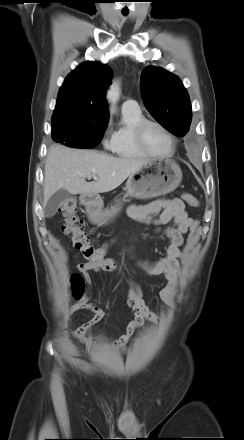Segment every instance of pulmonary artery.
I'll list each match as a JSON object with an SVG mask.
<instances>
[{
    "label": "pulmonary artery",
    "mask_w": 244,
    "mask_h": 440,
    "mask_svg": "<svg viewBox=\"0 0 244 440\" xmlns=\"http://www.w3.org/2000/svg\"><path fill=\"white\" fill-rule=\"evenodd\" d=\"M122 111H129V112H135L140 110L138 103L135 100L128 99L123 102L122 104Z\"/></svg>",
    "instance_id": "obj_1"
}]
</instances>
